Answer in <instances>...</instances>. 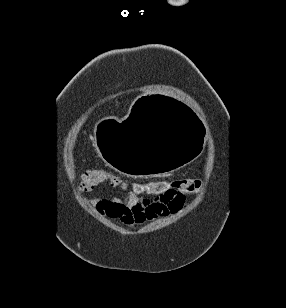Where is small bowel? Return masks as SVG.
Masks as SVG:
<instances>
[{
    "label": "small bowel",
    "mask_w": 286,
    "mask_h": 308,
    "mask_svg": "<svg viewBox=\"0 0 286 308\" xmlns=\"http://www.w3.org/2000/svg\"><path fill=\"white\" fill-rule=\"evenodd\" d=\"M190 192L171 190L165 196L148 199L140 193L122 197H93L90 204L101 215L126 226L143 224L158 217H166L182 210Z\"/></svg>",
    "instance_id": "small-bowel-1"
}]
</instances>
